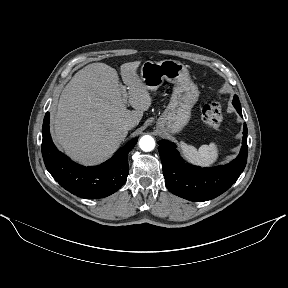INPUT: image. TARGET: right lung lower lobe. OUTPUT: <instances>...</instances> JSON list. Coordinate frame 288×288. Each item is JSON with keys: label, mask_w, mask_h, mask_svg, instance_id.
Listing matches in <instances>:
<instances>
[{"label": "right lung lower lobe", "mask_w": 288, "mask_h": 288, "mask_svg": "<svg viewBox=\"0 0 288 288\" xmlns=\"http://www.w3.org/2000/svg\"><path fill=\"white\" fill-rule=\"evenodd\" d=\"M49 117L47 112L42 128V156L53 178L72 194L86 199L103 198L119 190L127 180L128 153L136 145L137 138L129 141L105 163L84 167L72 162L57 150L49 132Z\"/></svg>", "instance_id": "right-lung-lower-lobe-1"}]
</instances>
